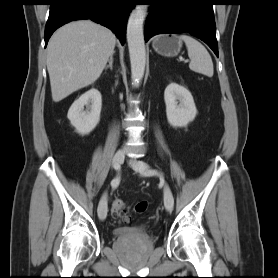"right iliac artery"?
<instances>
[{
	"mask_svg": "<svg viewBox=\"0 0 278 278\" xmlns=\"http://www.w3.org/2000/svg\"><path fill=\"white\" fill-rule=\"evenodd\" d=\"M114 168H115L116 170H119V169H120V166L114 165ZM119 182H120V177L117 176L116 178H114V179L111 181V185H112L113 187H116V186H118Z\"/></svg>",
	"mask_w": 278,
	"mask_h": 278,
	"instance_id": "obj_1",
	"label": "right iliac artery"
}]
</instances>
